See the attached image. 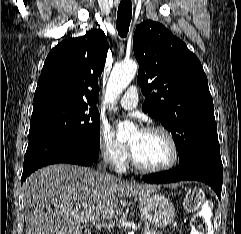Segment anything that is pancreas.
Instances as JSON below:
<instances>
[{"label": "pancreas", "instance_id": "pancreas-1", "mask_svg": "<svg viewBox=\"0 0 241 234\" xmlns=\"http://www.w3.org/2000/svg\"><path fill=\"white\" fill-rule=\"evenodd\" d=\"M146 233L149 232L150 234H163L162 232L158 231L157 229L155 228H146ZM144 233V234H146Z\"/></svg>", "mask_w": 241, "mask_h": 234}]
</instances>
